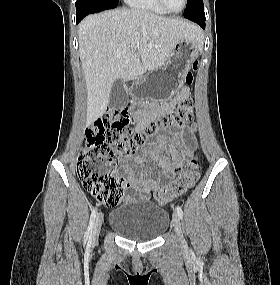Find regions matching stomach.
Returning a JSON list of instances; mask_svg holds the SVG:
<instances>
[{
	"label": "stomach",
	"mask_w": 280,
	"mask_h": 285,
	"mask_svg": "<svg viewBox=\"0 0 280 285\" xmlns=\"http://www.w3.org/2000/svg\"><path fill=\"white\" fill-rule=\"evenodd\" d=\"M198 54L197 41L187 38L180 40L162 70L137 79L130 86V93L135 98H142L146 90L152 88L155 90L153 98L156 102L169 101L183 87L184 77Z\"/></svg>",
	"instance_id": "obj_1"
}]
</instances>
